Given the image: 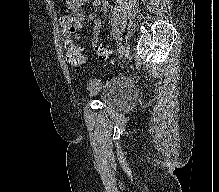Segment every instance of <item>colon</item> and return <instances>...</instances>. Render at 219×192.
<instances>
[{
    "label": "colon",
    "mask_w": 219,
    "mask_h": 192,
    "mask_svg": "<svg viewBox=\"0 0 219 192\" xmlns=\"http://www.w3.org/2000/svg\"><path fill=\"white\" fill-rule=\"evenodd\" d=\"M66 59L72 65H80L87 61V55L76 49L71 40V34L65 38ZM93 49L97 57L104 62L111 60L110 51L98 42L93 44Z\"/></svg>",
    "instance_id": "obj_1"
}]
</instances>
